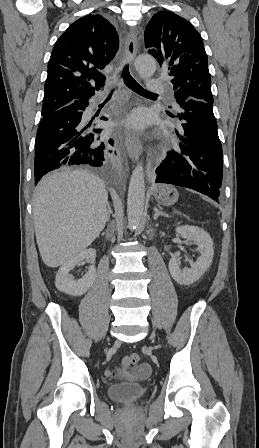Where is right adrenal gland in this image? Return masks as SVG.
Listing matches in <instances>:
<instances>
[{
	"instance_id": "obj_1",
	"label": "right adrenal gland",
	"mask_w": 259,
	"mask_h": 448,
	"mask_svg": "<svg viewBox=\"0 0 259 448\" xmlns=\"http://www.w3.org/2000/svg\"><path fill=\"white\" fill-rule=\"evenodd\" d=\"M107 208H108V216H107V222H109L110 220V214H113L111 208H110V204H107Z\"/></svg>"
}]
</instances>
